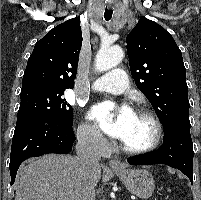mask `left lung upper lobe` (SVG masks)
Returning a JSON list of instances; mask_svg holds the SVG:
<instances>
[{"mask_svg":"<svg viewBox=\"0 0 201 200\" xmlns=\"http://www.w3.org/2000/svg\"><path fill=\"white\" fill-rule=\"evenodd\" d=\"M126 42L135 84L152 104L163 128L174 121L189 120L186 70L171 34L142 17Z\"/></svg>","mask_w":201,"mask_h":200,"instance_id":"1","label":"left lung upper lobe"}]
</instances>
